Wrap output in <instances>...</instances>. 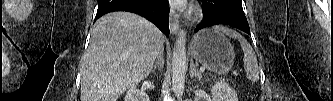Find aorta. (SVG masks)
<instances>
[{"mask_svg": "<svg viewBox=\"0 0 333 101\" xmlns=\"http://www.w3.org/2000/svg\"><path fill=\"white\" fill-rule=\"evenodd\" d=\"M186 73V41L182 33L175 42L172 56V88L176 96L184 92Z\"/></svg>", "mask_w": 333, "mask_h": 101, "instance_id": "1", "label": "aorta"}]
</instances>
